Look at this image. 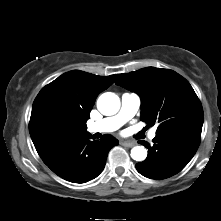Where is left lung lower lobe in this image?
Listing matches in <instances>:
<instances>
[{"label":"left lung lower lobe","instance_id":"0a47b994","mask_svg":"<svg viewBox=\"0 0 221 221\" xmlns=\"http://www.w3.org/2000/svg\"><path fill=\"white\" fill-rule=\"evenodd\" d=\"M201 131L175 130L156 135L154 145L139 141L148 148L147 158L136 164L137 171L151 179H165L180 172L196 153Z\"/></svg>","mask_w":221,"mask_h":221}]
</instances>
